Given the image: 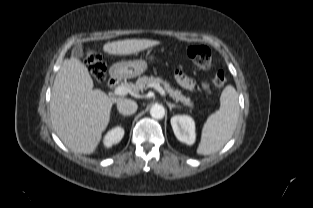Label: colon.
<instances>
[{"label":"colon","mask_w":313,"mask_h":208,"mask_svg":"<svg viewBox=\"0 0 313 208\" xmlns=\"http://www.w3.org/2000/svg\"><path fill=\"white\" fill-rule=\"evenodd\" d=\"M187 56L200 69L208 70L212 65V53L210 49L204 45H194L187 49ZM85 61L92 76L97 81L105 78L106 67L101 56L94 50H88L85 54ZM213 82L217 87L226 84L227 78L221 70L214 75Z\"/></svg>","instance_id":"5ec220e1"}]
</instances>
